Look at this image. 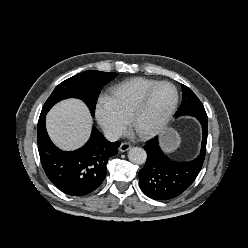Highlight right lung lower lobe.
Segmentation results:
<instances>
[{"instance_id": "1", "label": "right lung lower lobe", "mask_w": 248, "mask_h": 248, "mask_svg": "<svg viewBox=\"0 0 248 248\" xmlns=\"http://www.w3.org/2000/svg\"><path fill=\"white\" fill-rule=\"evenodd\" d=\"M46 113L38 121L37 143L42 167L49 180L62 192L84 196L97 189L107 172L108 159L118 153L120 142H109L92 129L88 142L72 152L59 150L50 140L45 127Z\"/></svg>"}]
</instances>
